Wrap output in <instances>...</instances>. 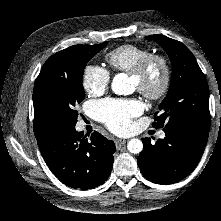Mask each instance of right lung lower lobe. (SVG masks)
Listing matches in <instances>:
<instances>
[{
    "label": "right lung lower lobe",
    "instance_id": "right-lung-lower-lobe-1",
    "mask_svg": "<svg viewBox=\"0 0 221 221\" xmlns=\"http://www.w3.org/2000/svg\"><path fill=\"white\" fill-rule=\"evenodd\" d=\"M37 143L52 173L72 188H95L111 173L115 144L96 131L87 138L75 126H56Z\"/></svg>",
    "mask_w": 221,
    "mask_h": 221
}]
</instances>
